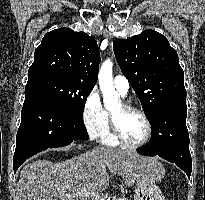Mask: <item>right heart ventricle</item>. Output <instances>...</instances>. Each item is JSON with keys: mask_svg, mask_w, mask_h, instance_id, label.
<instances>
[{"mask_svg": "<svg viewBox=\"0 0 205 200\" xmlns=\"http://www.w3.org/2000/svg\"><path fill=\"white\" fill-rule=\"evenodd\" d=\"M100 141H101L102 144H104L106 146L115 147V146L119 145L118 141L113 137V135L111 133L109 123H108L105 131L101 135Z\"/></svg>", "mask_w": 205, "mask_h": 200, "instance_id": "right-heart-ventricle-1", "label": "right heart ventricle"}]
</instances>
